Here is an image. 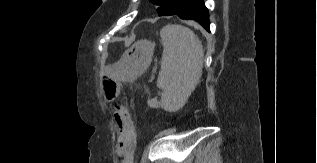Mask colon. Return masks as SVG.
Returning <instances> with one entry per match:
<instances>
[{
    "label": "colon",
    "instance_id": "obj_1",
    "mask_svg": "<svg viewBox=\"0 0 317 163\" xmlns=\"http://www.w3.org/2000/svg\"><path fill=\"white\" fill-rule=\"evenodd\" d=\"M103 92L108 101H114L119 95V84L113 79L103 82Z\"/></svg>",
    "mask_w": 317,
    "mask_h": 163
}]
</instances>
